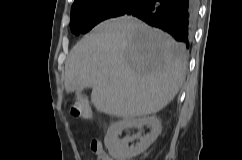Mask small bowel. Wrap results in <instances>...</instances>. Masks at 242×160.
Segmentation results:
<instances>
[{
    "instance_id": "c3829d8e",
    "label": "small bowel",
    "mask_w": 242,
    "mask_h": 160,
    "mask_svg": "<svg viewBox=\"0 0 242 160\" xmlns=\"http://www.w3.org/2000/svg\"><path fill=\"white\" fill-rule=\"evenodd\" d=\"M91 147L101 157V160H113L104 152L100 143L93 142Z\"/></svg>"
}]
</instances>
